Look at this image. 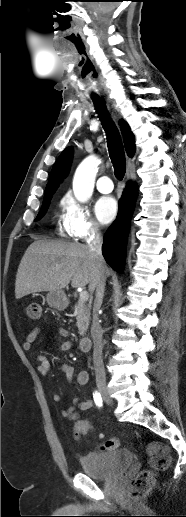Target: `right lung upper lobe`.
Here are the masks:
<instances>
[{
  "label": "right lung upper lobe",
  "instance_id": "1",
  "mask_svg": "<svg viewBox=\"0 0 186 517\" xmlns=\"http://www.w3.org/2000/svg\"><path fill=\"white\" fill-rule=\"evenodd\" d=\"M120 125L122 126L126 151L128 152V155L132 157L135 154L136 149L133 133L131 132L129 125L126 122L120 121ZM72 154V148L68 147L56 160L51 170V174L45 190V195L50 192H55L59 182L62 181V179L67 175L71 164Z\"/></svg>",
  "mask_w": 186,
  "mask_h": 517
}]
</instances>
